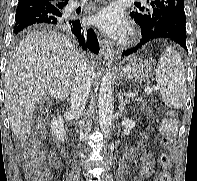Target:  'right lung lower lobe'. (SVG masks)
Masks as SVG:
<instances>
[{"mask_svg":"<svg viewBox=\"0 0 197 181\" xmlns=\"http://www.w3.org/2000/svg\"><path fill=\"white\" fill-rule=\"evenodd\" d=\"M67 3L68 1L52 3L48 0H19L14 33L31 25L55 26L70 31L83 49L97 54L99 44L93 29L81 26L78 20H68L62 16V9Z\"/></svg>","mask_w":197,"mask_h":181,"instance_id":"right-lung-lower-lobe-1","label":"right lung lower lobe"}]
</instances>
